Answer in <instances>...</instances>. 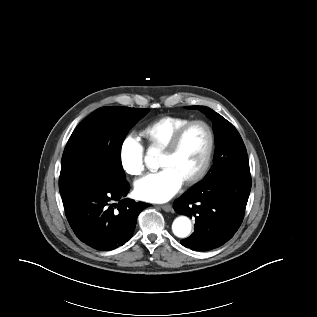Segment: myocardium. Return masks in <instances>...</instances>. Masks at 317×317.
I'll use <instances>...</instances> for the list:
<instances>
[{"mask_svg": "<svg viewBox=\"0 0 317 317\" xmlns=\"http://www.w3.org/2000/svg\"><path fill=\"white\" fill-rule=\"evenodd\" d=\"M194 125H201L206 129L209 136V143H208V149H207L202 165L193 176L187 178L184 181L186 185H194L198 183L199 181L203 179V177L206 175V173L209 170L212 157L214 154V149H215V134L210 124L206 122L205 120H201V119L189 121L172 136L169 143L162 151V154H165L168 156L175 154L181 144V141L184 135Z\"/></svg>", "mask_w": 317, "mask_h": 317, "instance_id": "1", "label": "myocardium"}]
</instances>
